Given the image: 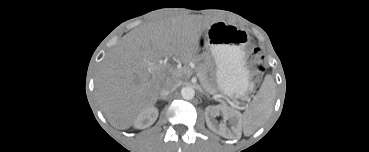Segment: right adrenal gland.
I'll use <instances>...</instances> for the list:
<instances>
[{"label": "right adrenal gland", "instance_id": "1", "mask_svg": "<svg viewBox=\"0 0 369 152\" xmlns=\"http://www.w3.org/2000/svg\"><path fill=\"white\" fill-rule=\"evenodd\" d=\"M161 99H164L165 101L167 100V98H166V97H164V98L159 97V100H161Z\"/></svg>", "mask_w": 369, "mask_h": 152}]
</instances>
